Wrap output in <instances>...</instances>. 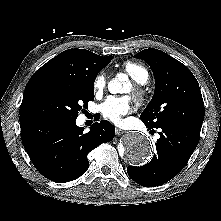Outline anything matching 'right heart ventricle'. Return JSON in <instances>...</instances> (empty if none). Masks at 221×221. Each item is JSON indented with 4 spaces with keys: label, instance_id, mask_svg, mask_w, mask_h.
Here are the masks:
<instances>
[{
    "label": "right heart ventricle",
    "instance_id": "1",
    "mask_svg": "<svg viewBox=\"0 0 221 221\" xmlns=\"http://www.w3.org/2000/svg\"><path fill=\"white\" fill-rule=\"evenodd\" d=\"M124 71L138 84L144 85L149 80L146 67L138 62L126 61L123 63Z\"/></svg>",
    "mask_w": 221,
    "mask_h": 221
}]
</instances>
